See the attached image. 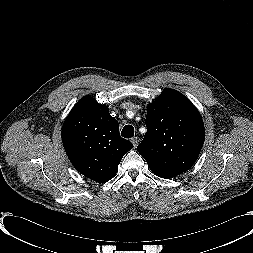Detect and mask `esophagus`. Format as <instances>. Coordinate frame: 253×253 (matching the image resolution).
Here are the masks:
<instances>
[{
  "instance_id": "esophagus-1",
  "label": "esophagus",
  "mask_w": 253,
  "mask_h": 253,
  "mask_svg": "<svg viewBox=\"0 0 253 253\" xmlns=\"http://www.w3.org/2000/svg\"><path fill=\"white\" fill-rule=\"evenodd\" d=\"M131 142H132L134 148H136L137 145H138V143H139V138H138V137H133V138L131 139Z\"/></svg>"
}]
</instances>
